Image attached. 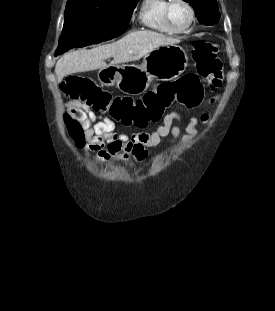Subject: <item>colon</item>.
I'll use <instances>...</instances> for the list:
<instances>
[{"label":"colon","mask_w":275,"mask_h":311,"mask_svg":"<svg viewBox=\"0 0 275 311\" xmlns=\"http://www.w3.org/2000/svg\"><path fill=\"white\" fill-rule=\"evenodd\" d=\"M219 52L218 44L198 41L193 49L196 74H185L175 81L161 83L138 99L113 97L89 77L80 75L68 76L62 84V91L69 101L86 104L97 112L105 113L109 121H123V125H135L136 129H149L150 123L161 121L164 111L173 104L187 108L200 105V78L209 80L221 74ZM67 120L73 136L80 141L83 131L79 121L71 115Z\"/></svg>","instance_id":"colon-1"}]
</instances>
